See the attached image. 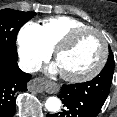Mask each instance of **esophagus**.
Listing matches in <instances>:
<instances>
[{"mask_svg": "<svg viewBox=\"0 0 117 117\" xmlns=\"http://www.w3.org/2000/svg\"><path fill=\"white\" fill-rule=\"evenodd\" d=\"M30 87H32L39 93L43 92L53 93L58 90V86L55 83L46 81L42 78L34 79Z\"/></svg>", "mask_w": 117, "mask_h": 117, "instance_id": "esophagus-1", "label": "esophagus"}]
</instances>
